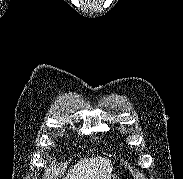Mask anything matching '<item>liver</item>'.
<instances>
[{
    "label": "liver",
    "instance_id": "1",
    "mask_svg": "<svg viewBox=\"0 0 183 179\" xmlns=\"http://www.w3.org/2000/svg\"><path fill=\"white\" fill-rule=\"evenodd\" d=\"M112 169V161L107 158H84L68 171L65 179H110Z\"/></svg>",
    "mask_w": 183,
    "mask_h": 179
}]
</instances>
